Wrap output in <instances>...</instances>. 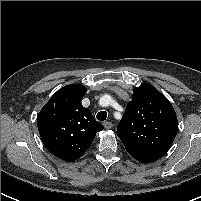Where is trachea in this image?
I'll return each mask as SVG.
<instances>
[{"instance_id": "3493384b", "label": "trachea", "mask_w": 201, "mask_h": 201, "mask_svg": "<svg viewBox=\"0 0 201 201\" xmlns=\"http://www.w3.org/2000/svg\"><path fill=\"white\" fill-rule=\"evenodd\" d=\"M97 120L104 121L107 118V112L106 111H100L96 115Z\"/></svg>"}]
</instances>
